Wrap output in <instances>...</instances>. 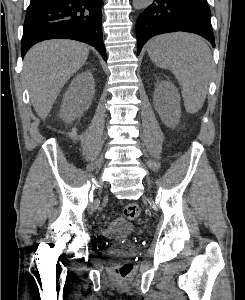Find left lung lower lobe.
<instances>
[{
	"mask_svg": "<svg viewBox=\"0 0 245 300\" xmlns=\"http://www.w3.org/2000/svg\"><path fill=\"white\" fill-rule=\"evenodd\" d=\"M175 31L196 33L215 47L207 0H154L136 22L137 53L153 36Z\"/></svg>",
	"mask_w": 245,
	"mask_h": 300,
	"instance_id": "left-lung-lower-lobe-1",
	"label": "left lung lower lobe"
}]
</instances>
